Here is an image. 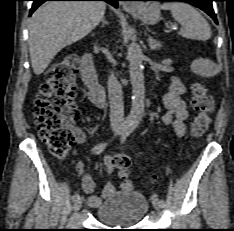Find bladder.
Returning <instances> with one entry per match:
<instances>
[{"mask_svg": "<svg viewBox=\"0 0 234 231\" xmlns=\"http://www.w3.org/2000/svg\"><path fill=\"white\" fill-rule=\"evenodd\" d=\"M149 203L146 197L136 191L115 193L107 198L97 209L99 222L131 226L138 224L148 213Z\"/></svg>", "mask_w": 234, "mask_h": 231, "instance_id": "bladder-1", "label": "bladder"}]
</instances>
